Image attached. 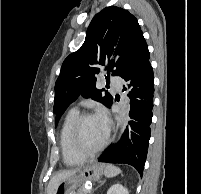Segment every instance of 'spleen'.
I'll return each mask as SVG.
<instances>
[{
  "label": "spleen",
  "instance_id": "spleen-1",
  "mask_svg": "<svg viewBox=\"0 0 201 194\" xmlns=\"http://www.w3.org/2000/svg\"><path fill=\"white\" fill-rule=\"evenodd\" d=\"M120 173H121L120 168L113 165H107L104 172L106 177H115Z\"/></svg>",
  "mask_w": 201,
  "mask_h": 194
}]
</instances>
